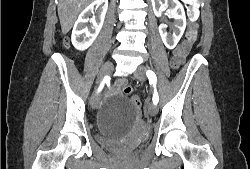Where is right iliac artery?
Here are the masks:
<instances>
[{
    "label": "right iliac artery",
    "instance_id": "1",
    "mask_svg": "<svg viewBox=\"0 0 250 169\" xmlns=\"http://www.w3.org/2000/svg\"><path fill=\"white\" fill-rule=\"evenodd\" d=\"M109 80H110V77H109V76H105V77H104L103 81L101 82V84H100V86H99V88H98V92H100V91L103 89L104 84H105L106 82H108Z\"/></svg>",
    "mask_w": 250,
    "mask_h": 169
}]
</instances>
